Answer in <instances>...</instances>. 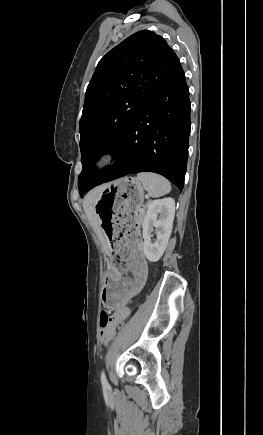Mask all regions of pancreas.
I'll return each instance as SVG.
<instances>
[{"label":"pancreas","mask_w":263,"mask_h":435,"mask_svg":"<svg viewBox=\"0 0 263 435\" xmlns=\"http://www.w3.org/2000/svg\"><path fill=\"white\" fill-rule=\"evenodd\" d=\"M145 209H146V207H145ZM144 216H145V210H143V211H140V209H139V215L137 216V220H138V222H143V219H144Z\"/></svg>","instance_id":"1"}]
</instances>
